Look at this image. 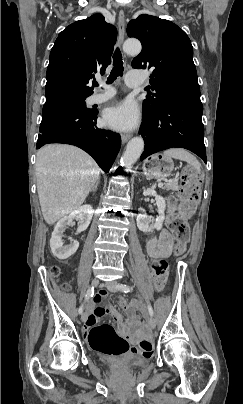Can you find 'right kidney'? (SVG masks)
I'll return each mask as SVG.
<instances>
[{"label": "right kidney", "instance_id": "obj_1", "mask_svg": "<svg viewBox=\"0 0 243 404\" xmlns=\"http://www.w3.org/2000/svg\"><path fill=\"white\" fill-rule=\"evenodd\" d=\"M93 212L91 206H80L78 210L71 212L69 216H64L59 222H57L54 232H52L50 240V248L53 256H56L58 260H67L72 254H75L79 248V242L71 240V244L64 246L62 242L63 234L67 228L72 224L73 220H78L77 232H84L87 230L91 220Z\"/></svg>", "mask_w": 243, "mask_h": 404}]
</instances>
